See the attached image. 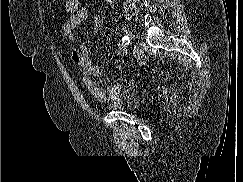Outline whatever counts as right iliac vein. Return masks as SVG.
<instances>
[{
	"instance_id": "right-iliac-vein-1",
	"label": "right iliac vein",
	"mask_w": 243,
	"mask_h": 182,
	"mask_svg": "<svg viewBox=\"0 0 243 182\" xmlns=\"http://www.w3.org/2000/svg\"><path fill=\"white\" fill-rule=\"evenodd\" d=\"M123 31H124V34L132 39H134V34L131 32L130 29H128L127 27L123 26Z\"/></svg>"
}]
</instances>
